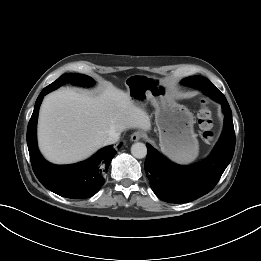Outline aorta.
I'll use <instances>...</instances> for the list:
<instances>
[{
  "instance_id": "aorta-1",
  "label": "aorta",
  "mask_w": 261,
  "mask_h": 261,
  "mask_svg": "<svg viewBox=\"0 0 261 261\" xmlns=\"http://www.w3.org/2000/svg\"><path fill=\"white\" fill-rule=\"evenodd\" d=\"M131 154L138 159H142L147 155V147L144 143L137 142L131 147Z\"/></svg>"
}]
</instances>
